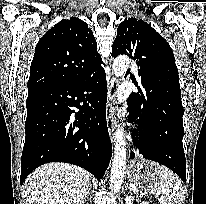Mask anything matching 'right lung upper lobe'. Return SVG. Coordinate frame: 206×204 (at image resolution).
I'll use <instances>...</instances> for the list:
<instances>
[{"label":"right lung upper lobe","instance_id":"cb5924a9","mask_svg":"<svg viewBox=\"0 0 206 204\" xmlns=\"http://www.w3.org/2000/svg\"><path fill=\"white\" fill-rule=\"evenodd\" d=\"M97 43L87 23L62 20L38 42L30 67L28 93L72 85L101 67Z\"/></svg>","mask_w":206,"mask_h":204}]
</instances>
